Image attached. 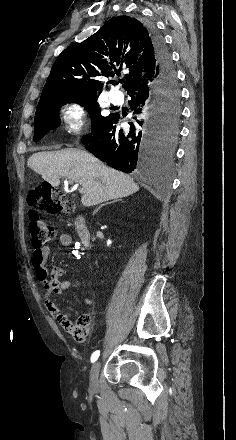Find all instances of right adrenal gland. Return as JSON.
<instances>
[{
	"label": "right adrenal gland",
	"mask_w": 236,
	"mask_h": 440,
	"mask_svg": "<svg viewBox=\"0 0 236 440\" xmlns=\"http://www.w3.org/2000/svg\"><path fill=\"white\" fill-rule=\"evenodd\" d=\"M117 201H122V199H118V200H114V201H111V202H107V203H105V204H102V205H100V206L95 210L94 213H96L101 207H103V206H105V205H107V204L115 203V202H117Z\"/></svg>",
	"instance_id": "1"
}]
</instances>
